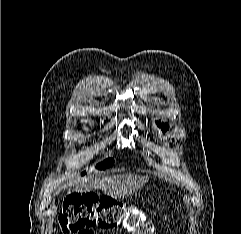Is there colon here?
<instances>
[{
    "label": "colon",
    "instance_id": "1",
    "mask_svg": "<svg viewBox=\"0 0 241 234\" xmlns=\"http://www.w3.org/2000/svg\"><path fill=\"white\" fill-rule=\"evenodd\" d=\"M59 223L66 234H78L85 228L114 229L120 225L132 234H152L153 226L143 212L126 207L110 197L94 194H71L59 213Z\"/></svg>",
    "mask_w": 241,
    "mask_h": 234
}]
</instances>
